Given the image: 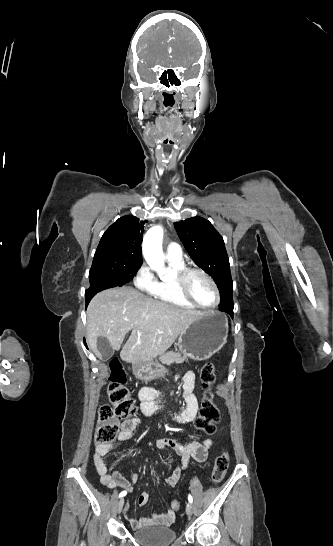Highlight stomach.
Segmentation results:
<instances>
[{
	"mask_svg": "<svg viewBox=\"0 0 333 546\" xmlns=\"http://www.w3.org/2000/svg\"><path fill=\"white\" fill-rule=\"evenodd\" d=\"M228 320L221 313H205L188 325L179 335L178 347L190 359L204 361L211 358L227 342ZM137 379L151 381L165 376L167 369L163 363L151 361L132 365Z\"/></svg>",
	"mask_w": 333,
	"mask_h": 546,
	"instance_id": "0dacf381",
	"label": "stomach"
}]
</instances>
